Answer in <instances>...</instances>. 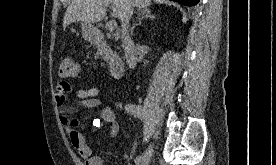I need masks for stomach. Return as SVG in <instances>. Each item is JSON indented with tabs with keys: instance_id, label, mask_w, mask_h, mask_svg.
Here are the masks:
<instances>
[{
	"instance_id": "0dacf381",
	"label": "stomach",
	"mask_w": 276,
	"mask_h": 165,
	"mask_svg": "<svg viewBox=\"0 0 276 165\" xmlns=\"http://www.w3.org/2000/svg\"><path fill=\"white\" fill-rule=\"evenodd\" d=\"M82 32L85 40L92 42L97 37V30L91 24L82 23Z\"/></svg>"
}]
</instances>
